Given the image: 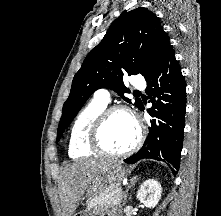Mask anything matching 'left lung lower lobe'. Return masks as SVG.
I'll return each instance as SVG.
<instances>
[{
  "label": "left lung lower lobe",
  "mask_w": 221,
  "mask_h": 216,
  "mask_svg": "<svg viewBox=\"0 0 221 216\" xmlns=\"http://www.w3.org/2000/svg\"><path fill=\"white\" fill-rule=\"evenodd\" d=\"M144 77L146 93L153 103L147 110L152 117L149 134L143 147L124 161L133 164L143 158L161 160L172 165L176 174L174 168L179 169L183 146L186 84L170 42L163 46ZM139 109H144L143 104Z\"/></svg>",
  "instance_id": "left-lung-lower-lobe-1"
}]
</instances>
